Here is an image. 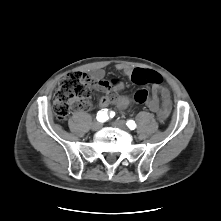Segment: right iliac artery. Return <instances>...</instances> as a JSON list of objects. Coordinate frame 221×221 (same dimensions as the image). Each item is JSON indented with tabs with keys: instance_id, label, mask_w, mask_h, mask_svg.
I'll return each mask as SVG.
<instances>
[{
	"instance_id": "right-iliac-artery-1",
	"label": "right iliac artery",
	"mask_w": 221,
	"mask_h": 221,
	"mask_svg": "<svg viewBox=\"0 0 221 221\" xmlns=\"http://www.w3.org/2000/svg\"><path fill=\"white\" fill-rule=\"evenodd\" d=\"M107 109H102L101 111L98 112L97 114V120L99 122H105L109 119L108 114H107Z\"/></svg>"
}]
</instances>
